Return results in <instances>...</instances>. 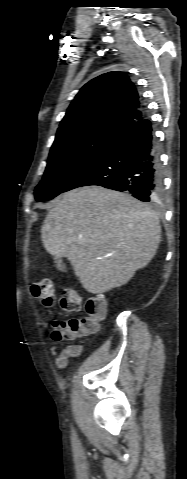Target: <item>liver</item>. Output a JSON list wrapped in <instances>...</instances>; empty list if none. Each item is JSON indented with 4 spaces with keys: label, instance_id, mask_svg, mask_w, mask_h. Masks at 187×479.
Instances as JSON below:
<instances>
[{
    "label": "liver",
    "instance_id": "6515ba94",
    "mask_svg": "<svg viewBox=\"0 0 187 479\" xmlns=\"http://www.w3.org/2000/svg\"><path fill=\"white\" fill-rule=\"evenodd\" d=\"M47 252L67 258L89 293L125 285L157 252V214L132 196L87 186L59 196L41 228Z\"/></svg>",
    "mask_w": 187,
    "mask_h": 479
}]
</instances>
